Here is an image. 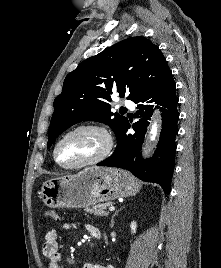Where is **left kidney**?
<instances>
[{"mask_svg": "<svg viewBox=\"0 0 221 268\" xmlns=\"http://www.w3.org/2000/svg\"><path fill=\"white\" fill-rule=\"evenodd\" d=\"M131 232L134 234L136 233L137 224L135 221L131 222L130 224Z\"/></svg>", "mask_w": 221, "mask_h": 268, "instance_id": "5707ae66", "label": "left kidney"}]
</instances>
